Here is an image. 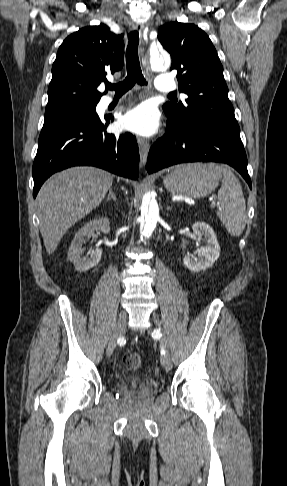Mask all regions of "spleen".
<instances>
[{"mask_svg": "<svg viewBox=\"0 0 287 486\" xmlns=\"http://www.w3.org/2000/svg\"><path fill=\"white\" fill-rule=\"evenodd\" d=\"M208 165L223 174L222 186L218 191L217 216L228 233L238 237L245 229L247 221L246 202L240 181L228 168Z\"/></svg>", "mask_w": 287, "mask_h": 486, "instance_id": "1", "label": "spleen"}]
</instances>
